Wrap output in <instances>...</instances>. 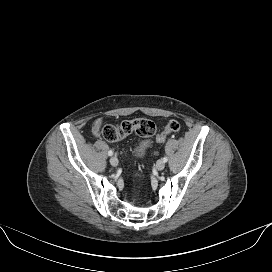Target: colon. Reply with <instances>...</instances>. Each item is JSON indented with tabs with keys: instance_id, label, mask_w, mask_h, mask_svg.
<instances>
[{
	"instance_id": "5ec220e1",
	"label": "colon",
	"mask_w": 272,
	"mask_h": 272,
	"mask_svg": "<svg viewBox=\"0 0 272 272\" xmlns=\"http://www.w3.org/2000/svg\"><path fill=\"white\" fill-rule=\"evenodd\" d=\"M180 123L171 119L164 127L163 131L156 134V126L153 121L146 118H136L125 120L119 125L108 124L102 130V135L109 142H117L132 133L139 135L142 140L136 147V154L143 155L151 145V138L156 134V141H165L166 137L180 130Z\"/></svg>"
}]
</instances>
